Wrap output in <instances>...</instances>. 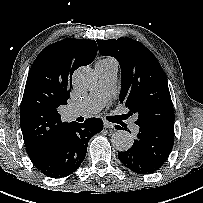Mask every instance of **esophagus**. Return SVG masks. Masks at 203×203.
<instances>
[{"instance_id": "esophagus-1", "label": "esophagus", "mask_w": 203, "mask_h": 203, "mask_svg": "<svg viewBox=\"0 0 203 203\" xmlns=\"http://www.w3.org/2000/svg\"><path fill=\"white\" fill-rule=\"evenodd\" d=\"M104 127L107 128V129H111V130H114V124L113 123H110L108 121H104Z\"/></svg>"}]
</instances>
